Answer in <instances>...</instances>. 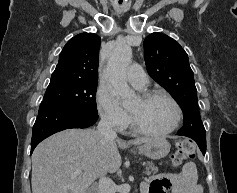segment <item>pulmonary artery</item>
I'll return each mask as SVG.
<instances>
[{
	"label": "pulmonary artery",
	"mask_w": 237,
	"mask_h": 193,
	"mask_svg": "<svg viewBox=\"0 0 237 193\" xmlns=\"http://www.w3.org/2000/svg\"><path fill=\"white\" fill-rule=\"evenodd\" d=\"M126 78L132 86L139 90L145 89L148 85L146 74L139 65H132L126 73Z\"/></svg>",
	"instance_id": "pulmonary-artery-1"
}]
</instances>
